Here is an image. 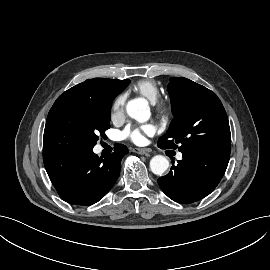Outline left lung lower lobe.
I'll use <instances>...</instances> for the list:
<instances>
[{
	"label": "left lung lower lobe",
	"instance_id": "1",
	"mask_svg": "<svg viewBox=\"0 0 270 270\" xmlns=\"http://www.w3.org/2000/svg\"><path fill=\"white\" fill-rule=\"evenodd\" d=\"M183 159L158 179L163 192L173 201L190 204L210 194L222 179L230 153L203 150L182 153Z\"/></svg>",
	"mask_w": 270,
	"mask_h": 270
}]
</instances>
